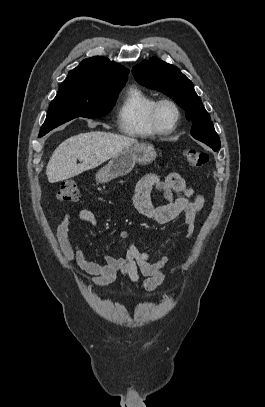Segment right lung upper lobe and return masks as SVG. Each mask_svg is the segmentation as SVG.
Returning a JSON list of instances; mask_svg holds the SVG:
<instances>
[{"label": "right lung upper lobe", "mask_w": 265, "mask_h": 407, "mask_svg": "<svg viewBox=\"0 0 265 407\" xmlns=\"http://www.w3.org/2000/svg\"><path fill=\"white\" fill-rule=\"evenodd\" d=\"M129 70L119 63L101 56L84 59L75 69L69 72L65 81H101L125 84Z\"/></svg>", "instance_id": "cb5924a9"}]
</instances>
